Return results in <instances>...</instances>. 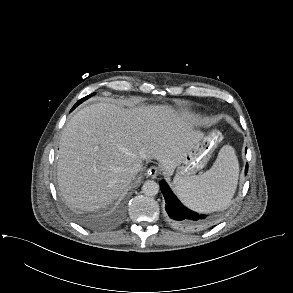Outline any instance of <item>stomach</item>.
<instances>
[{
    "instance_id": "1",
    "label": "stomach",
    "mask_w": 293,
    "mask_h": 293,
    "mask_svg": "<svg viewBox=\"0 0 293 293\" xmlns=\"http://www.w3.org/2000/svg\"><path fill=\"white\" fill-rule=\"evenodd\" d=\"M222 136L214 130L203 138L180 160L176 166L174 184L178 180L188 179L202 169L209 161Z\"/></svg>"
}]
</instances>
